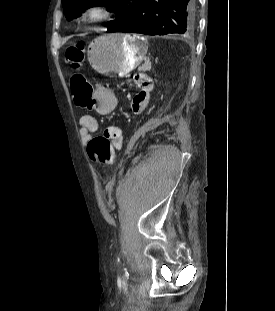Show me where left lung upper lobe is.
Instances as JSON below:
<instances>
[{
  "label": "left lung upper lobe",
  "mask_w": 275,
  "mask_h": 311,
  "mask_svg": "<svg viewBox=\"0 0 275 311\" xmlns=\"http://www.w3.org/2000/svg\"><path fill=\"white\" fill-rule=\"evenodd\" d=\"M142 0H62L67 20L79 16V12L94 6L118 8L114 21L106 23L108 31L118 30L136 17ZM110 11V10H109Z\"/></svg>",
  "instance_id": "5c2ea615"
}]
</instances>
